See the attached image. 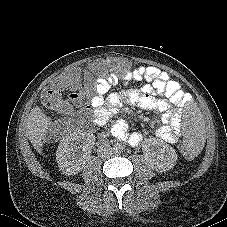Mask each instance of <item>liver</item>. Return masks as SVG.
<instances>
[{"label": "liver", "instance_id": "6515ba94", "mask_svg": "<svg viewBox=\"0 0 227 227\" xmlns=\"http://www.w3.org/2000/svg\"><path fill=\"white\" fill-rule=\"evenodd\" d=\"M50 125V118L38 106L30 111L26 122V132L34 149L39 153L42 152V139Z\"/></svg>", "mask_w": 227, "mask_h": 227}]
</instances>
